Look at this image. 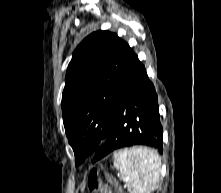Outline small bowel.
<instances>
[{
	"mask_svg": "<svg viewBox=\"0 0 221 193\" xmlns=\"http://www.w3.org/2000/svg\"><path fill=\"white\" fill-rule=\"evenodd\" d=\"M101 193H113L111 188L107 185H102Z\"/></svg>",
	"mask_w": 221,
	"mask_h": 193,
	"instance_id": "obj_1",
	"label": "small bowel"
}]
</instances>
